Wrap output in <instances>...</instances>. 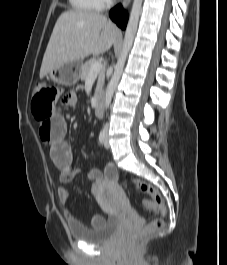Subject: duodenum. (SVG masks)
Wrapping results in <instances>:
<instances>
[{
    "label": "duodenum",
    "instance_id": "1",
    "mask_svg": "<svg viewBox=\"0 0 227 265\" xmlns=\"http://www.w3.org/2000/svg\"><path fill=\"white\" fill-rule=\"evenodd\" d=\"M94 113L97 117H102L103 115V102L100 97H98L93 105Z\"/></svg>",
    "mask_w": 227,
    "mask_h": 265
}]
</instances>
